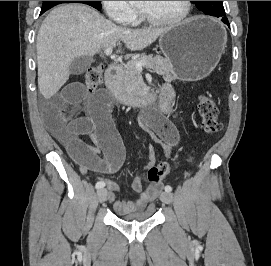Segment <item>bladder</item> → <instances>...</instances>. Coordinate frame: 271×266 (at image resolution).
<instances>
[{"label":"bladder","instance_id":"obj_1","mask_svg":"<svg viewBox=\"0 0 271 266\" xmlns=\"http://www.w3.org/2000/svg\"><path fill=\"white\" fill-rule=\"evenodd\" d=\"M154 215V209L153 207H150L148 210L146 211H141L135 214H131V215H116L119 219L124 220V221H128V222H133V221H146L149 220L153 217Z\"/></svg>","mask_w":271,"mask_h":266}]
</instances>
